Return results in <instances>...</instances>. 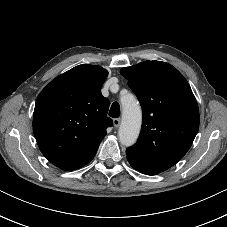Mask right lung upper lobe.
<instances>
[{"instance_id":"cb5924a9","label":"right lung upper lobe","mask_w":227,"mask_h":227,"mask_svg":"<svg viewBox=\"0 0 227 227\" xmlns=\"http://www.w3.org/2000/svg\"><path fill=\"white\" fill-rule=\"evenodd\" d=\"M108 71L82 64L51 81L37 98L33 132L42 154L63 170L90 162L113 125L101 87Z\"/></svg>"}]
</instances>
